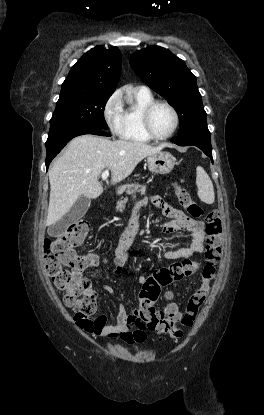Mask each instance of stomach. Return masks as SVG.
<instances>
[{
	"label": "stomach",
	"instance_id": "obj_1",
	"mask_svg": "<svg viewBox=\"0 0 264 415\" xmlns=\"http://www.w3.org/2000/svg\"><path fill=\"white\" fill-rule=\"evenodd\" d=\"M148 169L155 174H168L172 171L175 165L174 156L166 151H160L147 158ZM139 188V185L132 184L127 188V193L131 194Z\"/></svg>",
	"mask_w": 264,
	"mask_h": 415
}]
</instances>
